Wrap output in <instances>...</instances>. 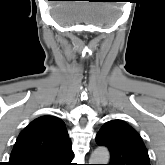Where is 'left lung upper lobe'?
Returning <instances> with one entry per match:
<instances>
[{
	"label": "left lung upper lobe",
	"mask_w": 165,
	"mask_h": 165,
	"mask_svg": "<svg viewBox=\"0 0 165 165\" xmlns=\"http://www.w3.org/2000/svg\"><path fill=\"white\" fill-rule=\"evenodd\" d=\"M96 143L109 148V165H150L140 135L122 120L105 123L96 136Z\"/></svg>",
	"instance_id": "1"
}]
</instances>
